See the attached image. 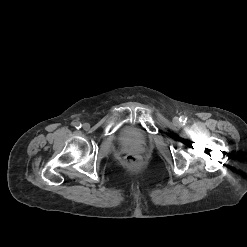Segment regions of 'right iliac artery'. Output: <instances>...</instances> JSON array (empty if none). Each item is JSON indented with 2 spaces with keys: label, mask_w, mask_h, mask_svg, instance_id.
<instances>
[{
  "label": "right iliac artery",
  "mask_w": 247,
  "mask_h": 247,
  "mask_svg": "<svg viewBox=\"0 0 247 247\" xmlns=\"http://www.w3.org/2000/svg\"><path fill=\"white\" fill-rule=\"evenodd\" d=\"M73 125L77 129L81 128V123L80 122H75Z\"/></svg>",
  "instance_id": "obj_1"
}]
</instances>
